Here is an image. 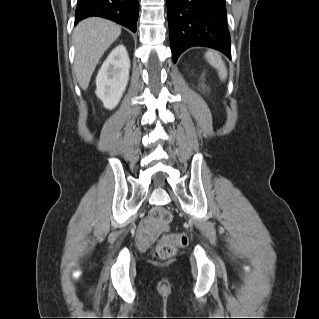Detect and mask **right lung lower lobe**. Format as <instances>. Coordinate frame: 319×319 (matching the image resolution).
Segmentation results:
<instances>
[{
    "label": "right lung lower lobe",
    "mask_w": 319,
    "mask_h": 319,
    "mask_svg": "<svg viewBox=\"0 0 319 319\" xmlns=\"http://www.w3.org/2000/svg\"><path fill=\"white\" fill-rule=\"evenodd\" d=\"M138 14V0H78L75 25L87 17L96 16L115 21L136 32Z\"/></svg>",
    "instance_id": "obj_1"
}]
</instances>
